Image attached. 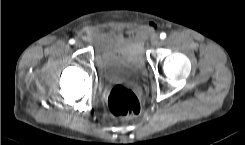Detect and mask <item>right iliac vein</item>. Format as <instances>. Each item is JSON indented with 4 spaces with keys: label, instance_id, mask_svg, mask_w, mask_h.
Instances as JSON below:
<instances>
[{
    "label": "right iliac vein",
    "instance_id": "1",
    "mask_svg": "<svg viewBox=\"0 0 245 145\" xmlns=\"http://www.w3.org/2000/svg\"><path fill=\"white\" fill-rule=\"evenodd\" d=\"M83 45L82 41L81 40H76L75 41V46L76 47H81Z\"/></svg>",
    "mask_w": 245,
    "mask_h": 145
}]
</instances>
